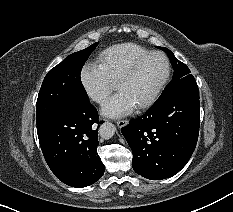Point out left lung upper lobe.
Here are the masks:
<instances>
[{
    "label": "left lung upper lobe",
    "instance_id": "left-lung-upper-lobe-1",
    "mask_svg": "<svg viewBox=\"0 0 233 212\" xmlns=\"http://www.w3.org/2000/svg\"><path fill=\"white\" fill-rule=\"evenodd\" d=\"M159 48L167 53L174 69L173 79L166 86L160 97L168 96L172 92L181 88H198L195 78L190 74L189 68L184 63L179 61L169 49L165 47Z\"/></svg>",
    "mask_w": 233,
    "mask_h": 212
}]
</instances>
